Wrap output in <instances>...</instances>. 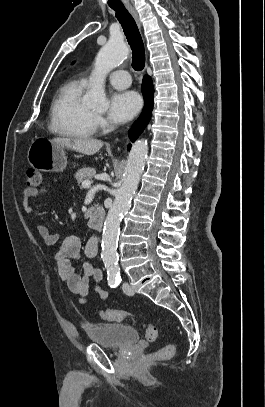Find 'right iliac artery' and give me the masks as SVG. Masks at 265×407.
Here are the masks:
<instances>
[{"mask_svg":"<svg viewBox=\"0 0 265 407\" xmlns=\"http://www.w3.org/2000/svg\"><path fill=\"white\" fill-rule=\"evenodd\" d=\"M108 285H109L111 288H115L116 286H118V284H117V279H110V280H108Z\"/></svg>","mask_w":265,"mask_h":407,"instance_id":"right-iliac-artery-1","label":"right iliac artery"}]
</instances>
